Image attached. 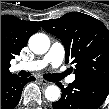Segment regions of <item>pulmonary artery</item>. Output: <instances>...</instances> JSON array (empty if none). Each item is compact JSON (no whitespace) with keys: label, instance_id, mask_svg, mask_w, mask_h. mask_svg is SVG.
<instances>
[{"label":"pulmonary artery","instance_id":"pulmonary-artery-1","mask_svg":"<svg viewBox=\"0 0 109 109\" xmlns=\"http://www.w3.org/2000/svg\"><path fill=\"white\" fill-rule=\"evenodd\" d=\"M65 55V50L60 43H54L48 53L39 60L30 61L26 63H20L16 66L17 69H24L28 71H38L45 68L47 65L51 64L54 67L59 66ZM58 77L64 78L63 73H58ZM75 80V75H71L66 78L67 83H72Z\"/></svg>","mask_w":109,"mask_h":109}]
</instances>
